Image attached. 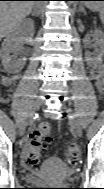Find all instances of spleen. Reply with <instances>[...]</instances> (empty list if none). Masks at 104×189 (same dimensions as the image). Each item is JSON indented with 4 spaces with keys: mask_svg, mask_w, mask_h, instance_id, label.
Instances as JSON below:
<instances>
[{
    "mask_svg": "<svg viewBox=\"0 0 104 189\" xmlns=\"http://www.w3.org/2000/svg\"><path fill=\"white\" fill-rule=\"evenodd\" d=\"M85 5L92 11H100L103 8L101 1H86Z\"/></svg>",
    "mask_w": 104,
    "mask_h": 189,
    "instance_id": "obj_1",
    "label": "spleen"
}]
</instances>
